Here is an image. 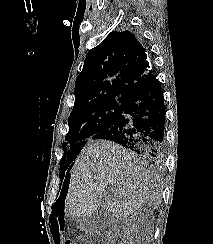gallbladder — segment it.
Masks as SVG:
<instances>
[{"instance_id": "gallbladder-1", "label": "gallbladder", "mask_w": 213, "mask_h": 244, "mask_svg": "<svg viewBox=\"0 0 213 244\" xmlns=\"http://www.w3.org/2000/svg\"><path fill=\"white\" fill-rule=\"evenodd\" d=\"M113 223V219L106 211L104 205L99 210L89 216L78 218L76 220L77 228L89 233L102 232Z\"/></svg>"}]
</instances>
